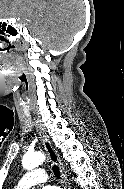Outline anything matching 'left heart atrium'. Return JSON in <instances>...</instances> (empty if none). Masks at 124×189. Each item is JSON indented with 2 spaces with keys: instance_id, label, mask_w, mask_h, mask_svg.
<instances>
[{
  "instance_id": "left-heart-atrium-1",
  "label": "left heart atrium",
  "mask_w": 124,
  "mask_h": 189,
  "mask_svg": "<svg viewBox=\"0 0 124 189\" xmlns=\"http://www.w3.org/2000/svg\"><path fill=\"white\" fill-rule=\"evenodd\" d=\"M43 189H58L57 187H54V186H46L44 187Z\"/></svg>"
}]
</instances>
